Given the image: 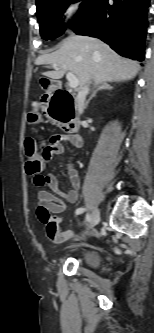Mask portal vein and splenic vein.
<instances>
[{
    "mask_svg": "<svg viewBox=\"0 0 154 333\" xmlns=\"http://www.w3.org/2000/svg\"><path fill=\"white\" fill-rule=\"evenodd\" d=\"M53 67L57 69L56 64H53ZM66 78L68 80V85L70 88H76L79 86V80L72 72H68Z\"/></svg>",
    "mask_w": 154,
    "mask_h": 333,
    "instance_id": "portal-vein-and-splenic-vein-1",
    "label": "portal vein and splenic vein"
}]
</instances>
